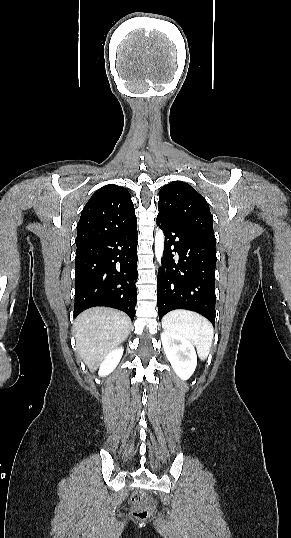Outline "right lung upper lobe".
<instances>
[{
    "mask_svg": "<svg viewBox=\"0 0 291 538\" xmlns=\"http://www.w3.org/2000/svg\"><path fill=\"white\" fill-rule=\"evenodd\" d=\"M137 224L130 193L108 184L86 203L77 225L76 246L103 240Z\"/></svg>",
    "mask_w": 291,
    "mask_h": 538,
    "instance_id": "cb5924a9",
    "label": "right lung upper lobe"
}]
</instances>
